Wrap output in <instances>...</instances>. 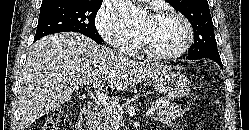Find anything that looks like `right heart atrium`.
Returning <instances> with one entry per match:
<instances>
[{
  "label": "right heart atrium",
  "mask_w": 249,
  "mask_h": 130,
  "mask_svg": "<svg viewBox=\"0 0 249 130\" xmlns=\"http://www.w3.org/2000/svg\"><path fill=\"white\" fill-rule=\"evenodd\" d=\"M95 27L99 35L113 48L131 54L136 50L138 37L119 15L103 4L95 15Z\"/></svg>",
  "instance_id": "right-heart-atrium-1"
}]
</instances>
